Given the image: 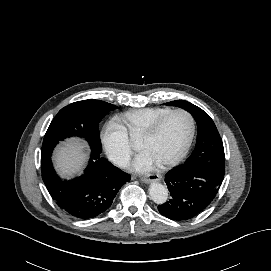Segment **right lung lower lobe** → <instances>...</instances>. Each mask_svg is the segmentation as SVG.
Masks as SVG:
<instances>
[{
	"mask_svg": "<svg viewBox=\"0 0 271 271\" xmlns=\"http://www.w3.org/2000/svg\"><path fill=\"white\" fill-rule=\"evenodd\" d=\"M42 179L52 199L70 215L89 219L106 211L130 176L92 150L84 175L62 181L55 173L50 155L41 157Z\"/></svg>",
	"mask_w": 271,
	"mask_h": 271,
	"instance_id": "1",
	"label": "right lung lower lobe"
}]
</instances>
